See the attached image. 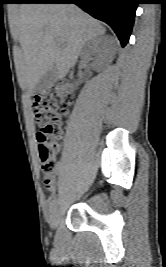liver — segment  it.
I'll use <instances>...</instances> for the list:
<instances>
[{"label": "liver", "instance_id": "obj_1", "mask_svg": "<svg viewBox=\"0 0 166 267\" xmlns=\"http://www.w3.org/2000/svg\"><path fill=\"white\" fill-rule=\"evenodd\" d=\"M105 31L74 4L21 5L12 29L20 43L15 65L21 87L32 92L53 65L57 79H62L76 64L84 44Z\"/></svg>", "mask_w": 166, "mask_h": 267}]
</instances>
